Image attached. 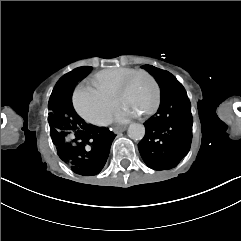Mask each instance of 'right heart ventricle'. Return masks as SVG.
<instances>
[{"label":"right heart ventricle","mask_w":241,"mask_h":241,"mask_svg":"<svg viewBox=\"0 0 241 241\" xmlns=\"http://www.w3.org/2000/svg\"><path fill=\"white\" fill-rule=\"evenodd\" d=\"M134 71L135 70L133 69L125 67H109L87 77L82 82V86L88 87L89 84H94L99 87L101 92L109 91L112 93L113 91L119 89L118 86L121 84L124 77ZM104 97L106 99L108 98L106 96Z\"/></svg>","instance_id":"e07e8e85"}]
</instances>
